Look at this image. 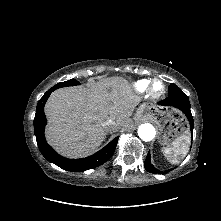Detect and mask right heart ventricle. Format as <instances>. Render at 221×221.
Masks as SVG:
<instances>
[{"label": "right heart ventricle", "instance_id": "obj_1", "mask_svg": "<svg viewBox=\"0 0 221 221\" xmlns=\"http://www.w3.org/2000/svg\"><path fill=\"white\" fill-rule=\"evenodd\" d=\"M149 85L148 80H139L136 83H134V89L138 92H144Z\"/></svg>", "mask_w": 221, "mask_h": 221}]
</instances>
